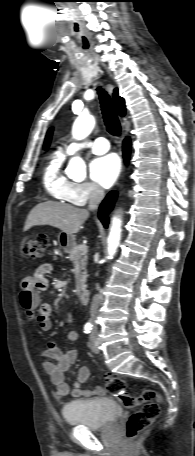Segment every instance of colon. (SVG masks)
Listing matches in <instances>:
<instances>
[{
    "label": "colon",
    "mask_w": 195,
    "mask_h": 456,
    "mask_svg": "<svg viewBox=\"0 0 195 456\" xmlns=\"http://www.w3.org/2000/svg\"><path fill=\"white\" fill-rule=\"evenodd\" d=\"M49 240L45 235H33L22 245V251L33 259H41L46 255ZM106 388L124 407L140 410L133 413L126 425V436L129 440L135 439L159 415L160 396L151 389L143 390L139 395L130 392L127 381L119 376L106 375Z\"/></svg>",
    "instance_id": "1"
}]
</instances>
